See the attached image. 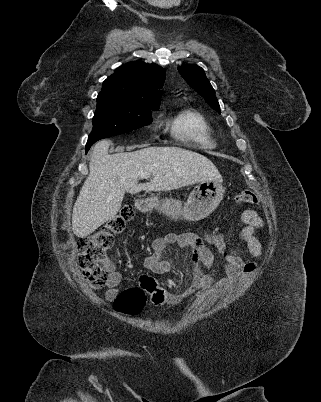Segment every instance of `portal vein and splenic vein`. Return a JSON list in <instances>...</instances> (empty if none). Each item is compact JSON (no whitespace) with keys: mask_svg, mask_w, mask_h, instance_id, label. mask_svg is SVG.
Segmentation results:
<instances>
[{"mask_svg":"<svg viewBox=\"0 0 321 402\" xmlns=\"http://www.w3.org/2000/svg\"><path fill=\"white\" fill-rule=\"evenodd\" d=\"M140 177H141L142 179H147V178H150L151 175H150L149 173H147V172H143V173H141Z\"/></svg>","mask_w":321,"mask_h":402,"instance_id":"1","label":"portal vein and splenic vein"}]
</instances>
